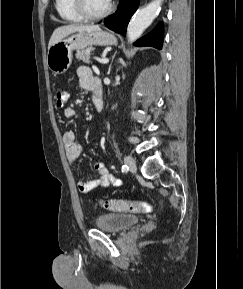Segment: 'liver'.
Listing matches in <instances>:
<instances>
[{
  "label": "liver",
  "instance_id": "1",
  "mask_svg": "<svg viewBox=\"0 0 243 289\" xmlns=\"http://www.w3.org/2000/svg\"><path fill=\"white\" fill-rule=\"evenodd\" d=\"M96 30H100V27L98 25L70 24L58 27L54 30L49 40L48 49L71 33L77 31H96Z\"/></svg>",
  "mask_w": 243,
  "mask_h": 289
}]
</instances>
